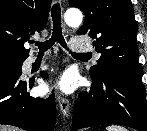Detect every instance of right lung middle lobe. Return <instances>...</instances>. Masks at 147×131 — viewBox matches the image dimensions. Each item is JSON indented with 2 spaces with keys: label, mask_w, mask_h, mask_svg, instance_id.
<instances>
[{
  "label": "right lung middle lobe",
  "mask_w": 147,
  "mask_h": 131,
  "mask_svg": "<svg viewBox=\"0 0 147 131\" xmlns=\"http://www.w3.org/2000/svg\"><path fill=\"white\" fill-rule=\"evenodd\" d=\"M24 59L0 58V75H21Z\"/></svg>",
  "instance_id": "1"
}]
</instances>
